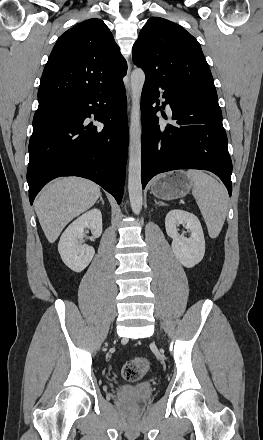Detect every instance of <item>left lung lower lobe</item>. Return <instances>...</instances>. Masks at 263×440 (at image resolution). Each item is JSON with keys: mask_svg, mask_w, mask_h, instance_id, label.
Returning <instances> with one entry per match:
<instances>
[{"mask_svg": "<svg viewBox=\"0 0 263 440\" xmlns=\"http://www.w3.org/2000/svg\"><path fill=\"white\" fill-rule=\"evenodd\" d=\"M158 88L172 109L171 124L155 117ZM163 103V108L165 106ZM141 180L145 188L155 175L176 169L215 173L232 193V162L218 99L192 96L172 84L146 79L142 91ZM163 117L166 115L163 114Z\"/></svg>", "mask_w": 263, "mask_h": 440, "instance_id": "1", "label": "left lung lower lobe"}]
</instances>
